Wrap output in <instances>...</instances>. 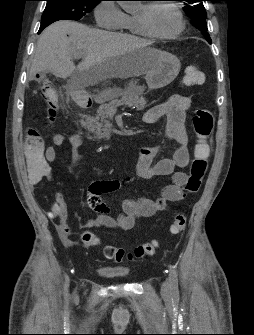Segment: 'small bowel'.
Instances as JSON below:
<instances>
[{
  "instance_id": "c3829d8e",
  "label": "small bowel",
  "mask_w": 254,
  "mask_h": 335,
  "mask_svg": "<svg viewBox=\"0 0 254 335\" xmlns=\"http://www.w3.org/2000/svg\"><path fill=\"white\" fill-rule=\"evenodd\" d=\"M190 107L191 100L188 97L174 94L145 113L143 121L146 124H155L162 117L167 119L165 139L177 145L175 150L170 157L155 162L162 146H142L139 149L135 176L93 182L89 188L88 204L97 213V217L87 220L83 224L84 228L105 227L128 231L133 229L138 217H151L157 212L164 211L169 202H179L183 199V186L187 176L176 168H184L189 163V138L185 121ZM64 142L65 137L62 134L57 133L53 136L52 145L47 147L43 157L48 165L56 161L58 149ZM81 144L80 135L73 134L69 138L73 155H77ZM155 176H170L171 178V182L162 189L159 197L156 199L148 197L125 199L121 205V212L115 217L110 215V208L102 199V194L116 191L123 185L131 184L138 179H150ZM42 179L44 178H28L32 185L38 184ZM48 215L56 221L55 227L63 244L68 247L74 246L75 242L70 237L68 225V208L61 193H56L55 201Z\"/></svg>"
}]
</instances>
